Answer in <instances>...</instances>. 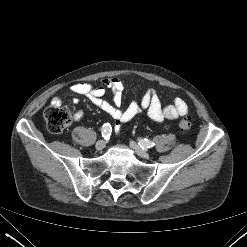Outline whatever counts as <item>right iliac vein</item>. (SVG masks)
Here are the masks:
<instances>
[{
    "mask_svg": "<svg viewBox=\"0 0 247 247\" xmlns=\"http://www.w3.org/2000/svg\"><path fill=\"white\" fill-rule=\"evenodd\" d=\"M105 146H106L105 140H99L95 145L97 150H103Z\"/></svg>",
    "mask_w": 247,
    "mask_h": 247,
    "instance_id": "right-iliac-vein-1",
    "label": "right iliac vein"
}]
</instances>
